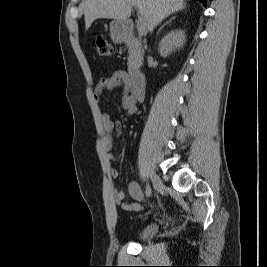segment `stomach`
I'll use <instances>...</instances> for the list:
<instances>
[{
  "mask_svg": "<svg viewBox=\"0 0 267 267\" xmlns=\"http://www.w3.org/2000/svg\"><path fill=\"white\" fill-rule=\"evenodd\" d=\"M128 32V25L126 21L123 20H113L110 23V37L116 42L120 43L126 39Z\"/></svg>",
  "mask_w": 267,
  "mask_h": 267,
  "instance_id": "stomach-1",
  "label": "stomach"
}]
</instances>
